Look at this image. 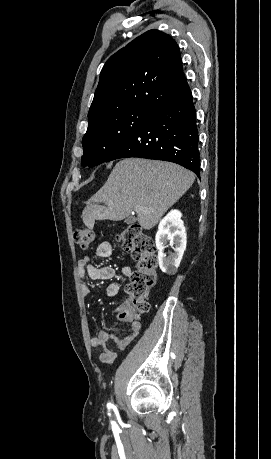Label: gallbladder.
Instances as JSON below:
<instances>
[{
	"mask_svg": "<svg viewBox=\"0 0 271 459\" xmlns=\"http://www.w3.org/2000/svg\"><path fill=\"white\" fill-rule=\"evenodd\" d=\"M127 224H133L134 220H126Z\"/></svg>",
	"mask_w": 271,
	"mask_h": 459,
	"instance_id": "bac80fb5",
	"label": "gallbladder"
}]
</instances>
